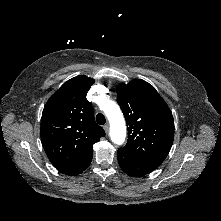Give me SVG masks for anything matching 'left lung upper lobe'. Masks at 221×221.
Here are the masks:
<instances>
[{"mask_svg": "<svg viewBox=\"0 0 221 221\" xmlns=\"http://www.w3.org/2000/svg\"><path fill=\"white\" fill-rule=\"evenodd\" d=\"M116 91L128 126V141L120 150L158 168L174 139V120L169 107L156 89L141 79L120 83Z\"/></svg>", "mask_w": 221, "mask_h": 221, "instance_id": "5c2ea615", "label": "left lung upper lobe"}]
</instances>
